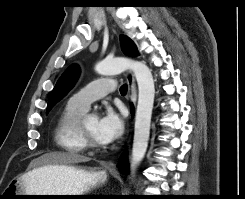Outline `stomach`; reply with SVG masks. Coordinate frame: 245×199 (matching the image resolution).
<instances>
[{
    "instance_id": "0dacf381",
    "label": "stomach",
    "mask_w": 245,
    "mask_h": 199,
    "mask_svg": "<svg viewBox=\"0 0 245 199\" xmlns=\"http://www.w3.org/2000/svg\"><path fill=\"white\" fill-rule=\"evenodd\" d=\"M107 173L101 170H88L80 166H43L30 174L11 181L6 190L9 195H84L98 184L105 182ZM73 198V197H39Z\"/></svg>"
}]
</instances>
